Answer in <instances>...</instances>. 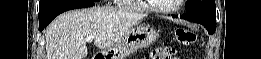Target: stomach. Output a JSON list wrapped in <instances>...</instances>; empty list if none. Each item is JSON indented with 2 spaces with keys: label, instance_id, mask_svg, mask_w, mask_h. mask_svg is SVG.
I'll use <instances>...</instances> for the list:
<instances>
[{
  "label": "stomach",
  "instance_id": "stomach-1",
  "mask_svg": "<svg viewBox=\"0 0 261 59\" xmlns=\"http://www.w3.org/2000/svg\"><path fill=\"white\" fill-rule=\"evenodd\" d=\"M159 34L155 28L140 25L132 28L111 48L101 53L104 59H125L138 50L153 44Z\"/></svg>",
  "mask_w": 261,
  "mask_h": 59
}]
</instances>
